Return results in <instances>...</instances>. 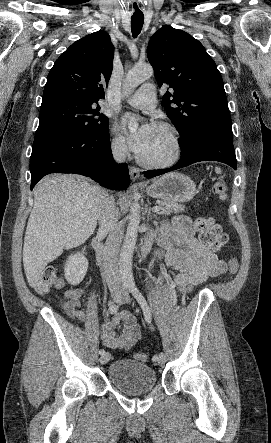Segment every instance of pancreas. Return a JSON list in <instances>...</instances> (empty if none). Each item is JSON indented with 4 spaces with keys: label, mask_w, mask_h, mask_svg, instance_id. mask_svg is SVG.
<instances>
[{
    "label": "pancreas",
    "mask_w": 271,
    "mask_h": 443,
    "mask_svg": "<svg viewBox=\"0 0 271 443\" xmlns=\"http://www.w3.org/2000/svg\"><path fill=\"white\" fill-rule=\"evenodd\" d=\"M161 216H169V214H180V212H184L185 208L184 206H181V204H176V202H160Z\"/></svg>",
    "instance_id": "pancreas-1"
}]
</instances>
